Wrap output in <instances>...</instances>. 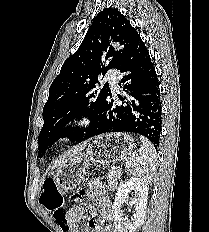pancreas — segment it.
I'll return each instance as SVG.
<instances>
[{"label":"pancreas","instance_id":"cf45deb5","mask_svg":"<svg viewBox=\"0 0 209 232\" xmlns=\"http://www.w3.org/2000/svg\"><path fill=\"white\" fill-rule=\"evenodd\" d=\"M121 177V169L119 167H116L115 169H111L108 172L107 180L109 183V188L111 190H114L117 188L118 180Z\"/></svg>","mask_w":209,"mask_h":232}]
</instances>
